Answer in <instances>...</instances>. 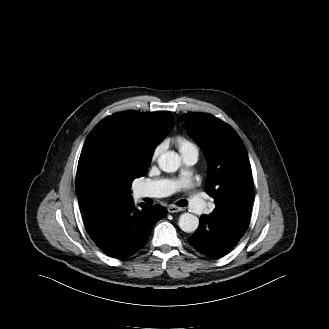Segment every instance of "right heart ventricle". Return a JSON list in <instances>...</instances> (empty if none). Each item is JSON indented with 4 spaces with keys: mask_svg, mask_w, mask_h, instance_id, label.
<instances>
[{
    "mask_svg": "<svg viewBox=\"0 0 329 329\" xmlns=\"http://www.w3.org/2000/svg\"><path fill=\"white\" fill-rule=\"evenodd\" d=\"M174 143L182 155L186 154L194 147L193 143L181 136L176 137L174 139Z\"/></svg>",
    "mask_w": 329,
    "mask_h": 329,
    "instance_id": "1",
    "label": "right heart ventricle"
}]
</instances>
